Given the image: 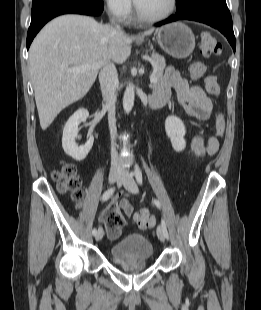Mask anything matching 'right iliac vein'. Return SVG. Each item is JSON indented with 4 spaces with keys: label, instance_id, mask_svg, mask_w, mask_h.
Segmentation results:
<instances>
[{
    "label": "right iliac vein",
    "instance_id": "1",
    "mask_svg": "<svg viewBox=\"0 0 261 310\" xmlns=\"http://www.w3.org/2000/svg\"><path fill=\"white\" fill-rule=\"evenodd\" d=\"M121 171L119 169L113 168L111 169L108 177L109 184H113L117 179L120 178ZM104 231L102 228H99L97 234L95 235V239L100 241L103 238Z\"/></svg>",
    "mask_w": 261,
    "mask_h": 310
}]
</instances>
